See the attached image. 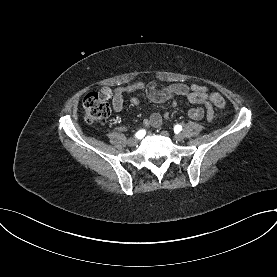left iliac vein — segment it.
I'll use <instances>...</instances> for the list:
<instances>
[{"label": "left iliac vein", "instance_id": "4c4485c4", "mask_svg": "<svg viewBox=\"0 0 277 277\" xmlns=\"http://www.w3.org/2000/svg\"><path fill=\"white\" fill-rule=\"evenodd\" d=\"M163 135H167V133L166 132H163ZM174 138H175V140L176 141H182L183 139H184V136H183V134H176L175 136H174Z\"/></svg>", "mask_w": 277, "mask_h": 277}]
</instances>
